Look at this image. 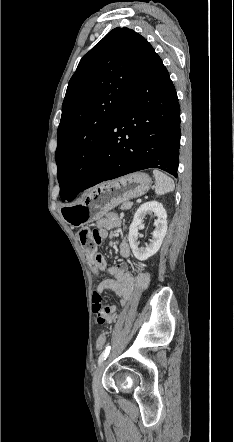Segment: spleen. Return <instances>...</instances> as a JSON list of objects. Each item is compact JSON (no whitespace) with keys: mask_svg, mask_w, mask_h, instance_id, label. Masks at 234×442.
I'll return each instance as SVG.
<instances>
[{"mask_svg":"<svg viewBox=\"0 0 234 442\" xmlns=\"http://www.w3.org/2000/svg\"><path fill=\"white\" fill-rule=\"evenodd\" d=\"M153 175L156 180L155 193L157 195H164L174 190L175 188L174 181L165 173L161 172L158 169H154Z\"/></svg>","mask_w":234,"mask_h":442,"instance_id":"obj_1","label":"spleen"}]
</instances>
